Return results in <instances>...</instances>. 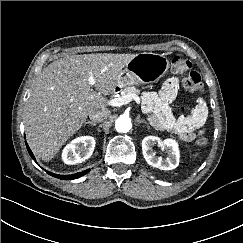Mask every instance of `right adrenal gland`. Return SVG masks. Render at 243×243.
Returning a JSON list of instances; mask_svg holds the SVG:
<instances>
[{
    "label": "right adrenal gland",
    "instance_id": "obj_1",
    "mask_svg": "<svg viewBox=\"0 0 243 243\" xmlns=\"http://www.w3.org/2000/svg\"><path fill=\"white\" fill-rule=\"evenodd\" d=\"M87 124H90L91 126H96L97 124L93 121H88V122H85L84 126H86Z\"/></svg>",
    "mask_w": 243,
    "mask_h": 243
}]
</instances>
